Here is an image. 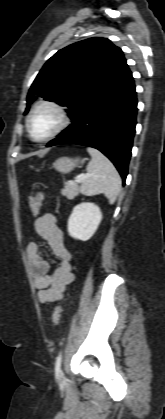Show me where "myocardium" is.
Wrapping results in <instances>:
<instances>
[{"instance_id":"f54148a6","label":"myocardium","mask_w":165,"mask_h":419,"mask_svg":"<svg viewBox=\"0 0 165 419\" xmlns=\"http://www.w3.org/2000/svg\"><path fill=\"white\" fill-rule=\"evenodd\" d=\"M41 108H49L53 110L58 116V123L51 133H49L47 136L41 139H37L33 136L32 131H31V120L35 112ZM68 123H69L68 113L61 104L55 101H51V100H42L35 103L33 107L31 108V110L29 111L26 118V129L32 141L36 143H44V142L52 140L57 135H59L67 127Z\"/></svg>"}]
</instances>
